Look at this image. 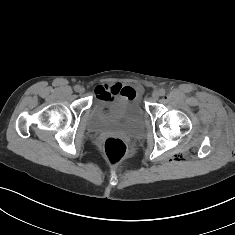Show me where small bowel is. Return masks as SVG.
Instances as JSON below:
<instances>
[{"label":"small bowel","mask_w":235,"mask_h":235,"mask_svg":"<svg viewBox=\"0 0 235 235\" xmlns=\"http://www.w3.org/2000/svg\"><path fill=\"white\" fill-rule=\"evenodd\" d=\"M97 98L112 99L113 97L120 96L125 99H134L137 95L135 89L122 86L121 84H115L112 86L99 85L95 89Z\"/></svg>","instance_id":"c3829d8e"}]
</instances>
